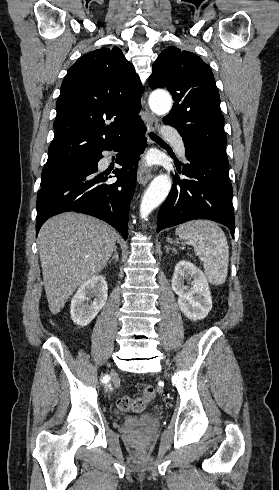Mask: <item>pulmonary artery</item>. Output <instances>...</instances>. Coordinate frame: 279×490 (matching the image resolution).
I'll list each match as a JSON object with an SVG mask.
<instances>
[{"instance_id":"e3ab8cb5","label":"pulmonary artery","mask_w":279,"mask_h":490,"mask_svg":"<svg viewBox=\"0 0 279 490\" xmlns=\"http://www.w3.org/2000/svg\"><path fill=\"white\" fill-rule=\"evenodd\" d=\"M161 128L162 129H165L166 128V125L165 124H162L161 125ZM164 134L166 135V137L169 140H172L174 137H177L178 136L179 131H178L177 128H168L167 130L164 131ZM176 146H177V149H178L180 155L181 156H184L185 150H184L183 143L181 141H177L176 142Z\"/></svg>"}]
</instances>
